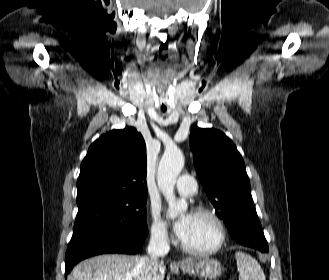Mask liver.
Here are the masks:
<instances>
[{"label": "liver", "mask_w": 329, "mask_h": 280, "mask_svg": "<svg viewBox=\"0 0 329 280\" xmlns=\"http://www.w3.org/2000/svg\"><path fill=\"white\" fill-rule=\"evenodd\" d=\"M140 256L118 254L100 255L76 265L67 280H147ZM166 266L151 272L149 280H164Z\"/></svg>", "instance_id": "obj_1"}]
</instances>
